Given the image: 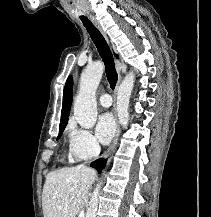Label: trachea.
Masks as SVG:
<instances>
[{"label":"trachea","mask_w":211,"mask_h":217,"mask_svg":"<svg viewBox=\"0 0 211 217\" xmlns=\"http://www.w3.org/2000/svg\"><path fill=\"white\" fill-rule=\"evenodd\" d=\"M81 20L104 62L108 82L111 88L114 89L116 82L118 80V74L115 69V63L112 52L103 35L91 23V21L86 17H82Z\"/></svg>","instance_id":"1"}]
</instances>
